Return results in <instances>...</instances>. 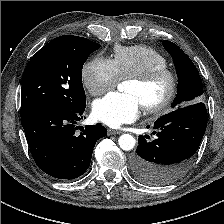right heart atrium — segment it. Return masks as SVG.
Returning a JSON list of instances; mask_svg holds the SVG:
<instances>
[{"mask_svg": "<svg viewBox=\"0 0 224 224\" xmlns=\"http://www.w3.org/2000/svg\"><path fill=\"white\" fill-rule=\"evenodd\" d=\"M119 80L120 76L113 61L103 56H96L87 62L82 70L83 85L93 96L112 89Z\"/></svg>", "mask_w": 224, "mask_h": 224, "instance_id": "obj_1", "label": "right heart atrium"}]
</instances>
